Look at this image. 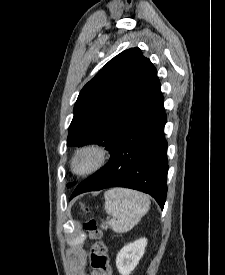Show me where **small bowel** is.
I'll return each instance as SVG.
<instances>
[{"label":"small bowel","mask_w":225,"mask_h":275,"mask_svg":"<svg viewBox=\"0 0 225 275\" xmlns=\"http://www.w3.org/2000/svg\"><path fill=\"white\" fill-rule=\"evenodd\" d=\"M89 275H98V273L94 271V272H91Z\"/></svg>","instance_id":"obj_1"}]
</instances>
